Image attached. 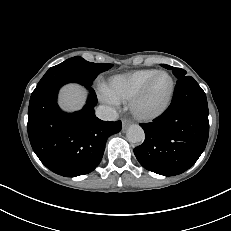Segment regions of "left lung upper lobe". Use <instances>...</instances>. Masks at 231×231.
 Wrapping results in <instances>:
<instances>
[{
    "label": "left lung upper lobe",
    "instance_id": "5c2ea615",
    "mask_svg": "<svg viewBox=\"0 0 231 231\" xmlns=\"http://www.w3.org/2000/svg\"><path fill=\"white\" fill-rule=\"evenodd\" d=\"M162 66L164 68H167V69H172L173 71V74L179 79L181 77H184L186 75V71L183 70V69H180V68H174V67H171V66H168V65H165V64H162Z\"/></svg>",
    "mask_w": 231,
    "mask_h": 231
}]
</instances>
